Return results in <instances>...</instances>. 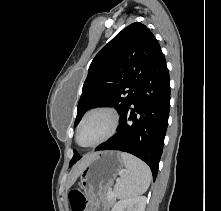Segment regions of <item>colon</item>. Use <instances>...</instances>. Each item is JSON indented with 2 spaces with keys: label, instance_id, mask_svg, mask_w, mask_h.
Wrapping results in <instances>:
<instances>
[{
  "label": "colon",
  "instance_id": "colon-1",
  "mask_svg": "<svg viewBox=\"0 0 221 211\" xmlns=\"http://www.w3.org/2000/svg\"><path fill=\"white\" fill-rule=\"evenodd\" d=\"M72 211H87V200L81 191L74 189L69 194Z\"/></svg>",
  "mask_w": 221,
  "mask_h": 211
}]
</instances>
